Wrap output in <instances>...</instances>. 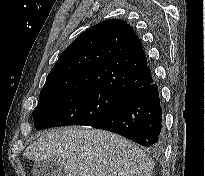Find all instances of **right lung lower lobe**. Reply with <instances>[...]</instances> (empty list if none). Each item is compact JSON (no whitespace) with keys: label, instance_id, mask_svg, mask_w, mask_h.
I'll use <instances>...</instances> for the list:
<instances>
[{"label":"right lung lower lobe","instance_id":"right-lung-lower-lobe-1","mask_svg":"<svg viewBox=\"0 0 205 176\" xmlns=\"http://www.w3.org/2000/svg\"><path fill=\"white\" fill-rule=\"evenodd\" d=\"M91 127L120 134L154 151H160L164 138L157 85L152 80L131 91L104 119Z\"/></svg>","mask_w":205,"mask_h":176}]
</instances>
